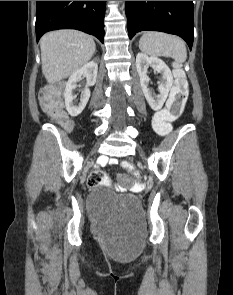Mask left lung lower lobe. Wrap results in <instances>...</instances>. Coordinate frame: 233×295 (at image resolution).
<instances>
[{"instance_id":"obj_1","label":"left lung lower lobe","mask_w":233,"mask_h":295,"mask_svg":"<svg viewBox=\"0 0 233 295\" xmlns=\"http://www.w3.org/2000/svg\"><path fill=\"white\" fill-rule=\"evenodd\" d=\"M128 35L162 31L182 37L192 48L194 39L193 1H126Z\"/></svg>"}]
</instances>
